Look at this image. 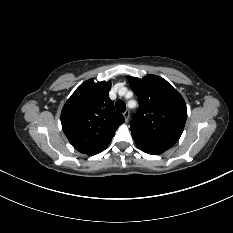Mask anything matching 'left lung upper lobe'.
Wrapping results in <instances>:
<instances>
[{
    "instance_id": "left-lung-upper-lobe-1",
    "label": "left lung upper lobe",
    "mask_w": 233,
    "mask_h": 233,
    "mask_svg": "<svg viewBox=\"0 0 233 233\" xmlns=\"http://www.w3.org/2000/svg\"><path fill=\"white\" fill-rule=\"evenodd\" d=\"M128 79L139 98L138 113L130 123L133 138L176 143L187 118L186 104L180 93L156 75Z\"/></svg>"
}]
</instances>
